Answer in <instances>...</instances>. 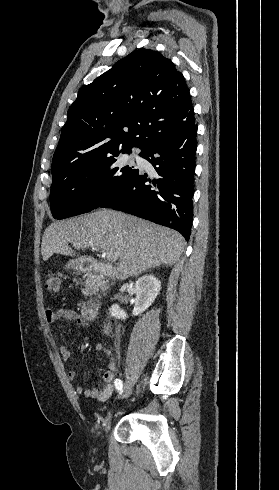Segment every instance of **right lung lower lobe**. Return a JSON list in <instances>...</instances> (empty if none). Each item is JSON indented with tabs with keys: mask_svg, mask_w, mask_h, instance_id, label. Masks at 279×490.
Returning <instances> with one entry per match:
<instances>
[{
	"mask_svg": "<svg viewBox=\"0 0 279 490\" xmlns=\"http://www.w3.org/2000/svg\"><path fill=\"white\" fill-rule=\"evenodd\" d=\"M197 125L141 156L159 175L151 180L138 173L100 207L112 208L170 227L188 241L193 218Z\"/></svg>",
	"mask_w": 279,
	"mask_h": 490,
	"instance_id": "right-lung-lower-lobe-1",
	"label": "right lung lower lobe"
}]
</instances>
